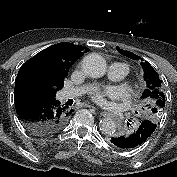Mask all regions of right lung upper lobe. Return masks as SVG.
Here are the masks:
<instances>
[{
	"instance_id": "cb5924a9",
	"label": "right lung upper lobe",
	"mask_w": 177,
	"mask_h": 177,
	"mask_svg": "<svg viewBox=\"0 0 177 177\" xmlns=\"http://www.w3.org/2000/svg\"><path fill=\"white\" fill-rule=\"evenodd\" d=\"M88 49L72 43L52 45L26 61L17 74L15 89L37 88L55 93L63 88L65 77L74 62Z\"/></svg>"
}]
</instances>
